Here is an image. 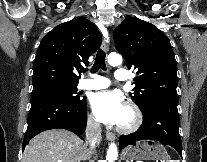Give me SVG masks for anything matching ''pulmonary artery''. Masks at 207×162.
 I'll return each instance as SVG.
<instances>
[{
    "label": "pulmonary artery",
    "instance_id": "obj_1",
    "mask_svg": "<svg viewBox=\"0 0 207 162\" xmlns=\"http://www.w3.org/2000/svg\"><path fill=\"white\" fill-rule=\"evenodd\" d=\"M114 77L120 82H125L128 79V74L125 70L119 69L115 71ZM109 85L110 81L107 78L94 74L91 78L80 81L78 87L80 89L99 90L105 89Z\"/></svg>",
    "mask_w": 207,
    "mask_h": 162
}]
</instances>
